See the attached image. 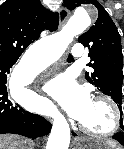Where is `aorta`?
Wrapping results in <instances>:
<instances>
[{
  "mask_svg": "<svg viewBox=\"0 0 124 149\" xmlns=\"http://www.w3.org/2000/svg\"><path fill=\"white\" fill-rule=\"evenodd\" d=\"M91 24V18L86 10L77 9L70 17L66 25L60 32H57L42 41V45L46 48H51L59 53L65 51L69 43L72 42L73 37L84 30ZM34 58L23 59L14 69L11 77V84H20L22 88L25 84L24 77L31 74V60ZM50 115L53 117L54 122L46 149H68L70 143V128L66 119L53 108Z\"/></svg>",
  "mask_w": 124,
  "mask_h": 149,
  "instance_id": "aorta-1",
  "label": "aorta"
}]
</instances>
